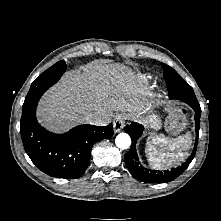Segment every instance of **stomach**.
Masks as SVG:
<instances>
[{
    "mask_svg": "<svg viewBox=\"0 0 221 221\" xmlns=\"http://www.w3.org/2000/svg\"><path fill=\"white\" fill-rule=\"evenodd\" d=\"M145 123L147 126H149L150 128H152L154 131H157L158 129H160L161 126V122L158 116L156 115H151L149 116L146 120Z\"/></svg>",
    "mask_w": 221,
    "mask_h": 221,
    "instance_id": "1",
    "label": "stomach"
}]
</instances>
